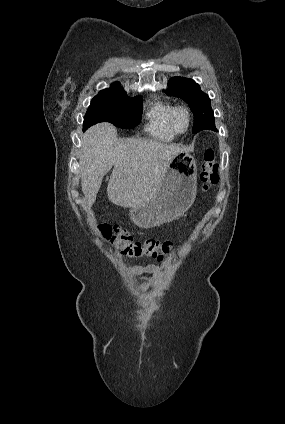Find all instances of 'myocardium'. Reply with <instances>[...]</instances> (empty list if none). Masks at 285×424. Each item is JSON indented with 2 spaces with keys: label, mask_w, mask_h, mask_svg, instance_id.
Instances as JSON below:
<instances>
[{
  "label": "myocardium",
  "mask_w": 285,
  "mask_h": 424,
  "mask_svg": "<svg viewBox=\"0 0 285 424\" xmlns=\"http://www.w3.org/2000/svg\"><path fill=\"white\" fill-rule=\"evenodd\" d=\"M180 112L184 113L186 115V118H187V125H186V128L183 129V130H180L177 127V125H176V116ZM170 124H171V127L173 128V130L177 134H183V133L187 132L188 129H189V127H190V124H191V113H190V110L187 107L182 106V105L175 106L173 108L172 112H171Z\"/></svg>",
  "instance_id": "obj_1"
}]
</instances>
